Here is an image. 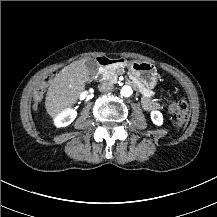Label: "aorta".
<instances>
[{
    "label": "aorta",
    "instance_id": "obj_1",
    "mask_svg": "<svg viewBox=\"0 0 217 217\" xmlns=\"http://www.w3.org/2000/svg\"><path fill=\"white\" fill-rule=\"evenodd\" d=\"M133 94V90L130 86H123L122 89H121V95L124 96V97H130L132 96Z\"/></svg>",
    "mask_w": 217,
    "mask_h": 217
}]
</instances>
